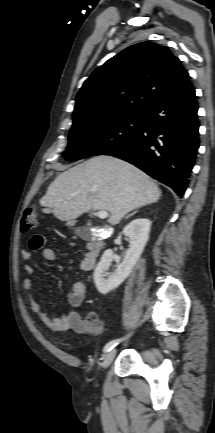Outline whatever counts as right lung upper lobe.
Returning <instances> with one entry per match:
<instances>
[{"mask_svg": "<svg viewBox=\"0 0 215 433\" xmlns=\"http://www.w3.org/2000/svg\"><path fill=\"white\" fill-rule=\"evenodd\" d=\"M190 83L167 47L132 45L98 67L77 94L73 124L143 115L153 104Z\"/></svg>", "mask_w": 215, "mask_h": 433, "instance_id": "obj_1", "label": "right lung upper lobe"}]
</instances>
